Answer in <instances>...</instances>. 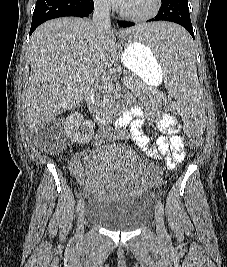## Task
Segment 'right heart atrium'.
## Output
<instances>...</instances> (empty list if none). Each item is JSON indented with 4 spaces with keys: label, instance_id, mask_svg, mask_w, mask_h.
<instances>
[{
    "label": "right heart atrium",
    "instance_id": "1",
    "mask_svg": "<svg viewBox=\"0 0 227 267\" xmlns=\"http://www.w3.org/2000/svg\"><path fill=\"white\" fill-rule=\"evenodd\" d=\"M93 3L97 8L103 11L110 10L112 6V0H93Z\"/></svg>",
    "mask_w": 227,
    "mask_h": 267
}]
</instances>
